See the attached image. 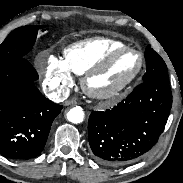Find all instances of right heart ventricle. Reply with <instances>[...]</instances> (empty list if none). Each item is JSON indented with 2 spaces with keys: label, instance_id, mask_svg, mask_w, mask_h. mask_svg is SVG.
I'll return each instance as SVG.
<instances>
[{
  "label": "right heart ventricle",
  "instance_id": "1",
  "mask_svg": "<svg viewBox=\"0 0 183 183\" xmlns=\"http://www.w3.org/2000/svg\"><path fill=\"white\" fill-rule=\"evenodd\" d=\"M126 46L123 42L95 37L67 46L63 51V63L69 72L84 75L91 67L101 61L109 52Z\"/></svg>",
  "mask_w": 183,
  "mask_h": 183
}]
</instances>
